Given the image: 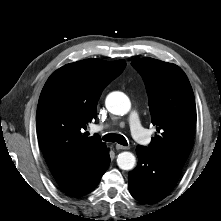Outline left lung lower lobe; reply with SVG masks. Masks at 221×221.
<instances>
[{
  "label": "left lung lower lobe",
  "instance_id": "1",
  "mask_svg": "<svg viewBox=\"0 0 221 221\" xmlns=\"http://www.w3.org/2000/svg\"><path fill=\"white\" fill-rule=\"evenodd\" d=\"M137 167L129 172L131 195L143 203H156L165 198L177 183L180 167L137 146Z\"/></svg>",
  "mask_w": 221,
  "mask_h": 221
}]
</instances>
